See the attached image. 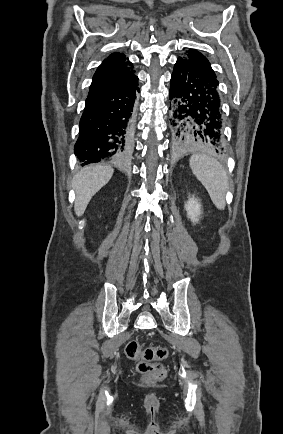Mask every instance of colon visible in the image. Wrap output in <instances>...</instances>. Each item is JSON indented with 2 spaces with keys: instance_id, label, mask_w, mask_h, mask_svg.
Wrapping results in <instances>:
<instances>
[{
  "instance_id": "obj_1",
  "label": "colon",
  "mask_w": 283,
  "mask_h": 434,
  "mask_svg": "<svg viewBox=\"0 0 283 434\" xmlns=\"http://www.w3.org/2000/svg\"><path fill=\"white\" fill-rule=\"evenodd\" d=\"M126 356L132 360H139L137 369L149 381H159L166 375V370L159 361L168 356V350L161 346L141 348L137 340H131L125 347Z\"/></svg>"
}]
</instances>
